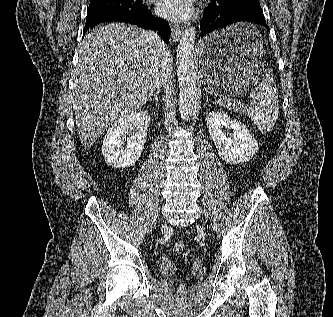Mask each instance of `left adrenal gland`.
<instances>
[{
    "instance_id": "a2214340",
    "label": "left adrenal gland",
    "mask_w": 333,
    "mask_h": 317,
    "mask_svg": "<svg viewBox=\"0 0 333 317\" xmlns=\"http://www.w3.org/2000/svg\"><path fill=\"white\" fill-rule=\"evenodd\" d=\"M210 104H209V101H208V99H206V101H205V103H204V108L206 107V106H209Z\"/></svg>"
}]
</instances>
